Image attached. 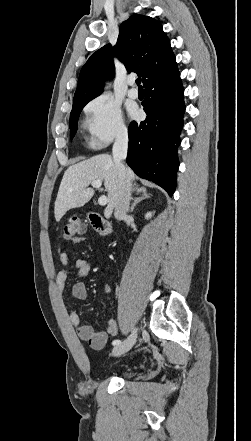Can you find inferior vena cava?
<instances>
[{
	"label": "inferior vena cava",
	"instance_id": "obj_1",
	"mask_svg": "<svg viewBox=\"0 0 251 441\" xmlns=\"http://www.w3.org/2000/svg\"><path fill=\"white\" fill-rule=\"evenodd\" d=\"M128 134L122 130L118 133L112 148L114 162L118 168L119 178V196L114 210V216L117 220H123L129 210L131 199V182L128 178L126 168L122 161L127 157Z\"/></svg>",
	"mask_w": 251,
	"mask_h": 441
}]
</instances>
